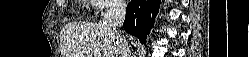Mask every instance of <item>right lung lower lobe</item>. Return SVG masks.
<instances>
[{
	"label": "right lung lower lobe",
	"instance_id": "1",
	"mask_svg": "<svg viewBox=\"0 0 249 57\" xmlns=\"http://www.w3.org/2000/svg\"><path fill=\"white\" fill-rule=\"evenodd\" d=\"M161 0H134L127 5L123 27L126 32L146 41L158 14Z\"/></svg>",
	"mask_w": 249,
	"mask_h": 57
}]
</instances>
